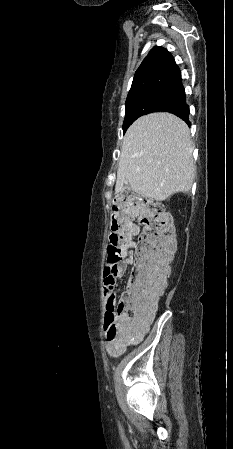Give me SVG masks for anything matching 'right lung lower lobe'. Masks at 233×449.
I'll return each instance as SVG.
<instances>
[{
	"label": "right lung lower lobe",
	"mask_w": 233,
	"mask_h": 449,
	"mask_svg": "<svg viewBox=\"0 0 233 449\" xmlns=\"http://www.w3.org/2000/svg\"><path fill=\"white\" fill-rule=\"evenodd\" d=\"M159 111L172 113V114L180 117L188 125H190V123H189V107L186 104L185 97L182 100H180V101H178L176 103H172L170 105H167V106L163 107Z\"/></svg>",
	"instance_id": "1"
}]
</instances>
